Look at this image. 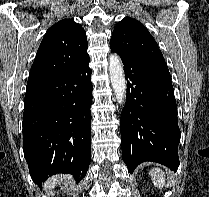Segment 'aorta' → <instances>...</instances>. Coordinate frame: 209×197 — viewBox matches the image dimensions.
<instances>
[{
  "label": "aorta",
  "mask_w": 209,
  "mask_h": 197,
  "mask_svg": "<svg viewBox=\"0 0 209 197\" xmlns=\"http://www.w3.org/2000/svg\"><path fill=\"white\" fill-rule=\"evenodd\" d=\"M109 75L115 98L119 104H122L126 97V80L123 64L117 54L109 57Z\"/></svg>",
  "instance_id": "aorta-1"
}]
</instances>
